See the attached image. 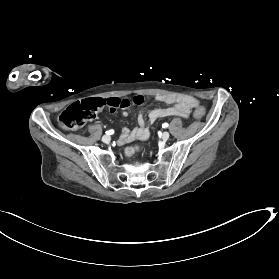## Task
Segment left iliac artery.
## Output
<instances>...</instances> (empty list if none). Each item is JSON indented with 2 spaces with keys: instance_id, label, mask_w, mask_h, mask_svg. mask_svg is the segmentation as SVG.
Here are the masks:
<instances>
[{
  "instance_id": "obj_1",
  "label": "left iliac artery",
  "mask_w": 279,
  "mask_h": 279,
  "mask_svg": "<svg viewBox=\"0 0 279 279\" xmlns=\"http://www.w3.org/2000/svg\"><path fill=\"white\" fill-rule=\"evenodd\" d=\"M168 126H169L168 123H163V124H162V127H163V128H167Z\"/></svg>"
}]
</instances>
